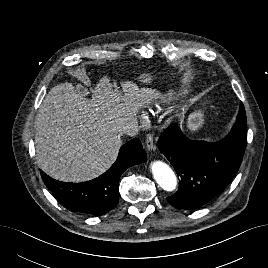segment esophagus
<instances>
[{
  "label": "esophagus",
  "mask_w": 268,
  "mask_h": 268,
  "mask_svg": "<svg viewBox=\"0 0 268 268\" xmlns=\"http://www.w3.org/2000/svg\"><path fill=\"white\" fill-rule=\"evenodd\" d=\"M145 145L148 151L155 150L154 138L153 134L149 133L145 140Z\"/></svg>",
  "instance_id": "34e87169"
}]
</instances>
